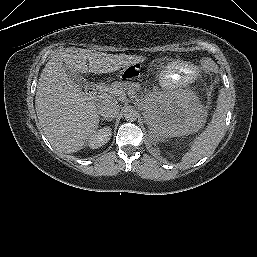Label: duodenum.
I'll return each instance as SVG.
<instances>
[{
    "label": "duodenum",
    "mask_w": 257,
    "mask_h": 257,
    "mask_svg": "<svg viewBox=\"0 0 257 257\" xmlns=\"http://www.w3.org/2000/svg\"><path fill=\"white\" fill-rule=\"evenodd\" d=\"M98 90V86L96 84H90L86 88V95L89 100H93Z\"/></svg>",
    "instance_id": "duodenum-1"
}]
</instances>
